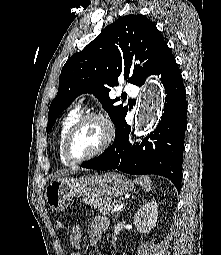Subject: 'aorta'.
I'll list each match as a JSON object with an SVG mask.
<instances>
[{
  "label": "aorta",
  "mask_w": 221,
  "mask_h": 255,
  "mask_svg": "<svg viewBox=\"0 0 221 255\" xmlns=\"http://www.w3.org/2000/svg\"><path fill=\"white\" fill-rule=\"evenodd\" d=\"M164 93L153 78H149L138 100L134 137L150 132L160 120Z\"/></svg>",
  "instance_id": "762f6f07"
}]
</instances>
